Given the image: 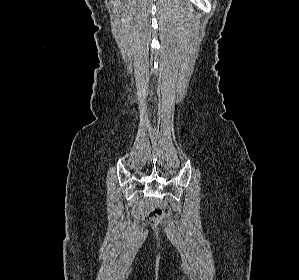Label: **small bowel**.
Listing matches in <instances>:
<instances>
[{
  "mask_svg": "<svg viewBox=\"0 0 299 280\" xmlns=\"http://www.w3.org/2000/svg\"><path fill=\"white\" fill-rule=\"evenodd\" d=\"M149 210H150L149 205L148 204H143V205H141L137 208L136 214L138 216H143V215L147 214L149 212Z\"/></svg>",
  "mask_w": 299,
  "mask_h": 280,
  "instance_id": "obj_1",
  "label": "small bowel"
}]
</instances>
